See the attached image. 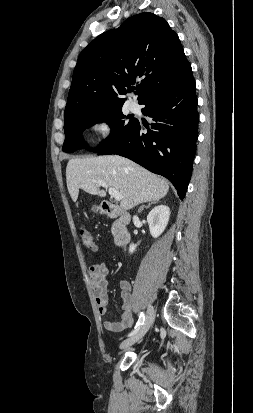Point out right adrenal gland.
Wrapping results in <instances>:
<instances>
[{"label": "right adrenal gland", "mask_w": 253, "mask_h": 413, "mask_svg": "<svg viewBox=\"0 0 253 413\" xmlns=\"http://www.w3.org/2000/svg\"><path fill=\"white\" fill-rule=\"evenodd\" d=\"M157 202H158V201H152V202H149L147 205L141 206V207L139 208V210H138V213H141L142 210H144V208H149L152 204H155V203H157Z\"/></svg>", "instance_id": "1"}]
</instances>
